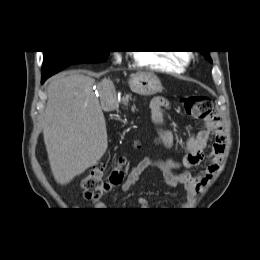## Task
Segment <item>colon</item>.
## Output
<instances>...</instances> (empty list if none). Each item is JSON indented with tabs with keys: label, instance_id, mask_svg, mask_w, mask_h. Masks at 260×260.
I'll return each instance as SVG.
<instances>
[{
	"label": "colon",
	"instance_id": "1",
	"mask_svg": "<svg viewBox=\"0 0 260 260\" xmlns=\"http://www.w3.org/2000/svg\"><path fill=\"white\" fill-rule=\"evenodd\" d=\"M186 113L193 119H206L215 116L211 100L205 96H186L181 99ZM125 161L120 159L108 178L105 177V165L100 163L92 167L82 179L81 188L87 200H98L123 178Z\"/></svg>",
	"mask_w": 260,
	"mask_h": 260
}]
</instances>
